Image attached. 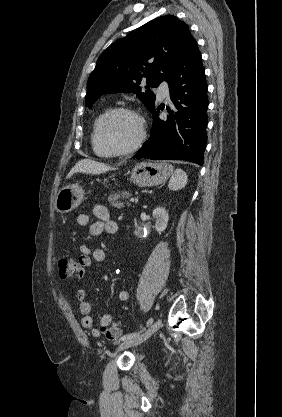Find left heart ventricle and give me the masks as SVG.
Returning a JSON list of instances; mask_svg holds the SVG:
<instances>
[{
    "mask_svg": "<svg viewBox=\"0 0 282 417\" xmlns=\"http://www.w3.org/2000/svg\"><path fill=\"white\" fill-rule=\"evenodd\" d=\"M139 131V123L135 118L120 115L111 122L108 129V138L114 146H125L137 139Z\"/></svg>",
    "mask_w": 282,
    "mask_h": 417,
    "instance_id": "left-heart-ventricle-1",
    "label": "left heart ventricle"
}]
</instances>
